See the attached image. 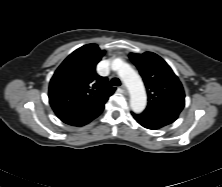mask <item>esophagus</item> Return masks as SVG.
Masks as SVG:
<instances>
[{
  "label": "esophagus",
  "instance_id": "1",
  "mask_svg": "<svg viewBox=\"0 0 222 187\" xmlns=\"http://www.w3.org/2000/svg\"><path fill=\"white\" fill-rule=\"evenodd\" d=\"M120 89H121V91H122L124 94H126V93L128 92V91H127V88H126V86H125L124 84L121 85Z\"/></svg>",
  "mask_w": 222,
  "mask_h": 187
}]
</instances>
